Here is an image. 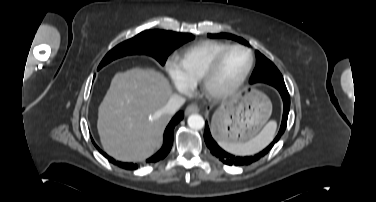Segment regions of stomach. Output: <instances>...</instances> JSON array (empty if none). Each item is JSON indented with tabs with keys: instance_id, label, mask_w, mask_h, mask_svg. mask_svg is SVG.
I'll list each match as a JSON object with an SVG mask.
<instances>
[{
	"instance_id": "stomach-1",
	"label": "stomach",
	"mask_w": 376,
	"mask_h": 202,
	"mask_svg": "<svg viewBox=\"0 0 376 202\" xmlns=\"http://www.w3.org/2000/svg\"><path fill=\"white\" fill-rule=\"evenodd\" d=\"M271 112V102L263 93L238 94L214 114L213 134L218 141L244 143L256 136Z\"/></svg>"
}]
</instances>
